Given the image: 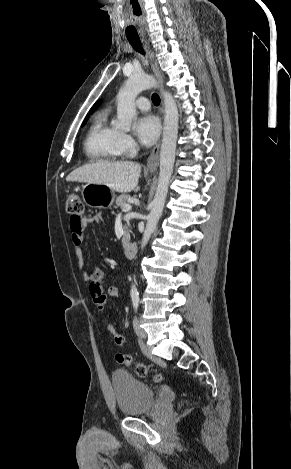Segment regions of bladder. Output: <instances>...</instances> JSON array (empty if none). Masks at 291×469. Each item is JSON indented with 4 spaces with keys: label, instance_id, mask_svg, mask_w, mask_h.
<instances>
[{
    "label": "bladder",
    "instance_id": "31cf9c89",
    "mask_svg": "<svg viewBox=\"0 0 291 469\" xmlns=\"http://www.w3.org/2000/svg\"><path fill=\"white\" fill-rule=\"evenodd\" d=\"M111 382L117 408L123 416H139L154 407L156 400L154 389L128 372L115 370Z\"/></svg>",
    "mask_w": 291,
    "mask_h": 469
}]
</instances>
